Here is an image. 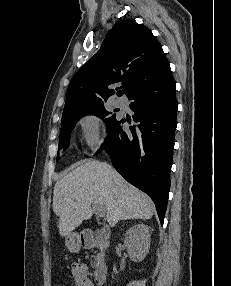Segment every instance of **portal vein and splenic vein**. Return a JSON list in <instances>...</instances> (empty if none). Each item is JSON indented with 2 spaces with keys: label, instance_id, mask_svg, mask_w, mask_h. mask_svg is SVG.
Returning <instances> with one entry per match:
<instances>
[{
  "label": "portal vein and splenic vein",
  "instance_id": "1",
  "mask_svg": "<svg viewBox=\"0 0 231 286\" xmlns=\"http://www.w3.org/2000/svg\"><path fill=\"white\" fill-rule=\"evenodd\" d=\"M93 211L98 215L99 217H104L105 215V210L102 206L100 205H94L93 206Z\"/></svg>",
  "mask_w": 231,
  "mask_h": 286
}]
</instances>
